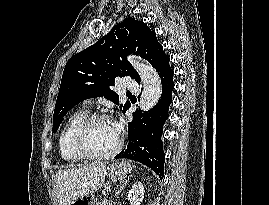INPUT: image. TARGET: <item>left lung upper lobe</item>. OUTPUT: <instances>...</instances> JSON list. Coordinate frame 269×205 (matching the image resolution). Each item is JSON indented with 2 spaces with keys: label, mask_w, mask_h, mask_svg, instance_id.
<instances>
[{
  "label": "left lung upper lobe",
  "mask_w": 269,
  "mask_h": 205,
  "mask_svg": "<svg viewBox=\"0 0 269 205\" xmlns=\"http://www.w3.org/2000/svg\"><path fill=\"white\" fill-rule=\"evenodd\" d=\"M129 54L140 55L154 68L166 55L155 32L144 22L125 18L97 43L69 59L55 105L53 132L64 115L85 99L104 96L119 105L118 95L110 89L115 78L130 76L140 83L139 74L126 59ZM129 107V102L120 105L123 112Z\"/></svg>",
  "instance_id": "obj_1"
}]
</instances>
